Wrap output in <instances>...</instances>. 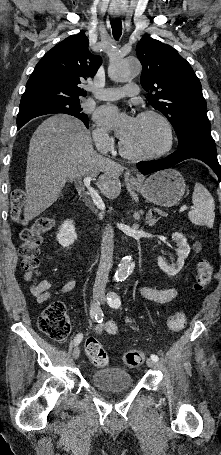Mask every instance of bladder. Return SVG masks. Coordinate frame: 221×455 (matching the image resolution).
Segmentation results:
<instances>
[{
	"label": "bladder",
	"mask_w": 221,
	"mask_h": 455,
	"mask_svg": "<svg viewBox=\"0 0 221 455\" xmlns=\"http://www.w3.org/2000/svg\"><path fill=\"white\" fill-rule=\"evenodd\" d=\"M91 385L104 392H115L133 387L131 375L118 367H108L94 370L90 373Z\"/></svg>",
	"instance_id": "bladder-1"
}]
</instances>
